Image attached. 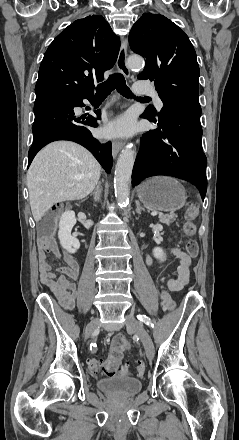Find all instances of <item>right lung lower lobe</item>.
I'll return each instance as SVG.
<instances>
[{"mask_svg":"<svg viewBox=\"0 0 239 440\" xmlns=\"http://www.w3.org/2000/svg\"><path fill=\"white\" fill-rule=\"evenodd\" d=\"M83 99H88L93 103V93L74 96L47 94L36 97L34 105L35 120L32 126L33 144L28 154V165H30L38 151L48 143L57 140H70L86 147L106 172L110 173L113 164L111 143H99L92 137L90 130L87 128V126H98L96 118L93 116L77 117L74 114V107L84 106ZM95 112L97 119H101L100 111Z\"/></svg>","mask_w":239,"mask_h":440,"instance_id":"obj_1","label":"right lung lower lobe"}]
</instances>
